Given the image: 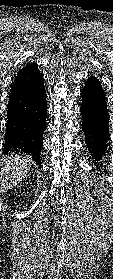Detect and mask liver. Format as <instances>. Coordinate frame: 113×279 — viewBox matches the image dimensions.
<instances>
[{
    "label": "liver",
    "mask_w": 113,
    "mask_h": 279,
    "mask_svg": "<svg viewBox=\"0 0 113 279\" xmlns=\"http://www.w3.org/2000/svg\"><path fill=\"white\" fill-rule=\"evenodd\" d=\"M32 158L10 154L0 159V194L14 188L28 174Z\"/></svg>",
    "instance_id": "6515ba94"
}]
</instances>
